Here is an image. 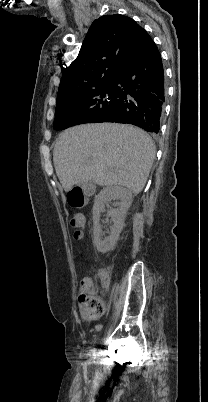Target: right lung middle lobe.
I'll use <instances>...</instances> for the list:
<instances>
[{
  "label": "right lung middle lobe",
  "mask_w": 208,
  "mask_h": 402,
  "mask_svg": "<svg viewBox=\"0 0 208 402\" xmlns=\"http://www.w3.org/2000/svg\"><path fill=\"white\" fill-rule=\"evenodd\" d=\"M114 80H101L58 94L53 128L62 123L85 122L110 111L116 103Z\"/></svg>",
  "instance_id": "right-lung-middle-lobe-1"
}]
</instances>
